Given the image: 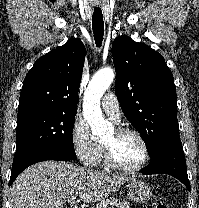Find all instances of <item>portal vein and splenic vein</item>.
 <instances>
[{"label": "portal vein and splenic vein", "mask_w": 199, "mask_h": 208, "mask_svg": "<svg viewBox=\"0 0 199 208\" xmlns=\"http://www.w3.org/2000/svg\"><path fill=\"white\" fill-rule=\"evenodd\" d=\"M68 203L74 204L75 203V197L69 198L67 200Z\"/></svg>", "instance_id": "obj_1"}]
</instances>
